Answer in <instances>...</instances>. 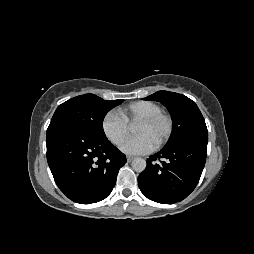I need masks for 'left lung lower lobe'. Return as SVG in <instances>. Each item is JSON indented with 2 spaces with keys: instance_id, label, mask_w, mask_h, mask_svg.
I'll use <instances>...</instances> for the list:
<instances>
[{
  "instance_id": "0a47b994",
  "label": "left lung lower lobe",
  "mask_w": 254,
  "mask_h": 254,
  "mask_svg": "<svg viewBox=\"0 0 254 254\" xmlns=\"http://www.w3.org/2000/svg\"><path fill=\"white\" fill-rule=\"evenodd\" d=\"M207 142L185 141L150 156L146 169L138 177L141 192L158 203L173 204L185 199L199 182Z\"/></svg>"
}]
</instances>
